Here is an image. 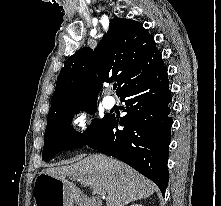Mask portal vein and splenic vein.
<instances>
[{
	"instance_id": "1",
	"label": "portal vein and splenic vein",
	"mask_w": 221,
	"mask_h": 206,
	"mask_svg": "<svg viewBox=\"0 0 221 206\" xmlns=\"http://www.w3.org/2000/svg\"><path fill=\"white\" fill-rule=\"evenodd\" d=\"M93 190V193L95 194H98V195H101L103 198H105V193L101 190V189H98V188H92Z\"/></svg>"
}]
</instances>
